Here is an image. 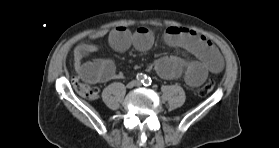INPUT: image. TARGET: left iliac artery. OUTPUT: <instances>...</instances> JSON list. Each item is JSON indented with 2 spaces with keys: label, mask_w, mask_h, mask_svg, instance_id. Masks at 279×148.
Here are the masks:
<instances>
[{
  "label": "left iliac artery",
  "mask_w": 279,
  "mask_h": 148,
  "mask_svg": "<svg viewBox=\"0 0 279 148\" xmlns=\"http://www.w3.org/2000/svg\"><path fill=\"white\" fill-rule=\"evenodd\" d=\"M151 82H152L151 78L150 77H148V78L146 77V80H145V82L143 84H144V86H150Z\"/></svg>",
  "instance_id": "1"
}]
</instances>
